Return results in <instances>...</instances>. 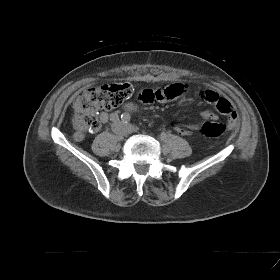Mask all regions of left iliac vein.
Returning <instances> with one entry per match:
<instances>
[{
	"mask_svg": "<svg viewBox=\"0 0 280 280\" xmlns=\"http://www.w3.org/2000/svg\"><path fill=\"white\" fill-rule=\"evenodd\" d=\"M131 128H132L133 130H136V129H137L135 126H131Z\"/></svg>",
	"mask_w": 280,
	"mask_h": 280,
	"instance_id": "1",
	"label": "left iliac vein"
}]
</instances>
